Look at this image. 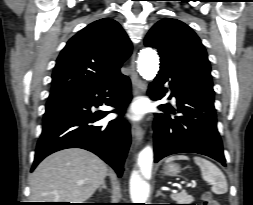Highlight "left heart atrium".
Masks as SVG:
<instances>
[{"label":"left heart atrium","instance_id":"obj_1","mask_svg":"<svg viewBox=\"0 0 253 205\" xmlns=\"http://www.w3.org/2000/svg\"><path fill=\"white\" fill-rule=\"evenodd\" d=\"M143 114V108L140 104L132 105L130 109V117L133 119H139Z\"/></svg>","mask_w":253,"mask_h":205}]
</instances>
